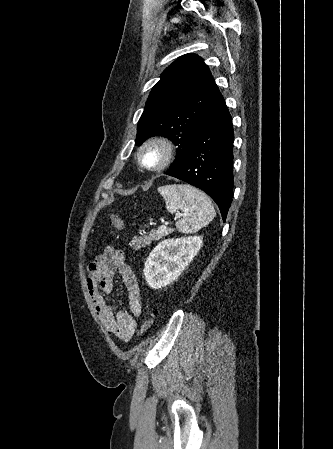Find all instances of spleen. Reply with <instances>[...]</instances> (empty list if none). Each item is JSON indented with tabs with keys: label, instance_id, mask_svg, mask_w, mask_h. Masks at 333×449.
Instances as JSON below:
<instances>
[{
	"label": "spleen",
	"instance_id": "1",
	"mask_svg": "<svg viewBox=\"0 0 333 449\" xmlns=\"http://www.w3.org/2000/svg\"><path fill=\"white\" fill-rule=\"evenodd\" d=\"M158 192L164 198L169 213L183 212L176 222V227L181 233L197 232L208 225L216 215L209 197L190 185H165L159 187Z\"/></svg>",
	"mask_w": 333,
	"mask_h": 449
}]
</instances>
